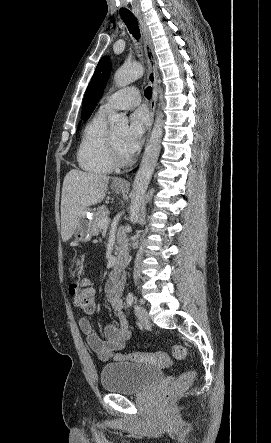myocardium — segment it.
Wrapping results in <instances>:
<instances>
[{
  "label": "myocardium",
  "instance_id": "f54148a6",
  "mask_svg": "<svg viewBox=\"0 0 271 443\" xmlns=\"http://www.w3.org/2000/svg\"><path fill=\"white\" fill-rule=\"evenodd\" d=\"M110 148L115 163L124 164L128 161L129 157L119 149L112 133L110 134Z\"/></svg>",
  "mask_w": 271,
  "mask_h": 443
}]
</instances>
